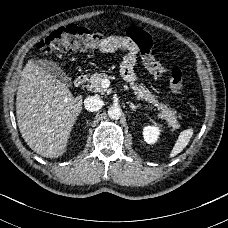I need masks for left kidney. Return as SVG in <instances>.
<instances>
[{"label":"left kidney","instance_id":"obj_1","mask_svg":"<svg viewBox=\"0 0 228 228\" xmlns=\"http://www.w3.org/2000/svg\"><path fill=\"white\" fill-rule=\"evenodd\" d=\"M160 128L158 126H145L143 128V137L147 144H155L160 135Z\"/></svg>","mask_w":228,"mask_h":228}]
</instances>
